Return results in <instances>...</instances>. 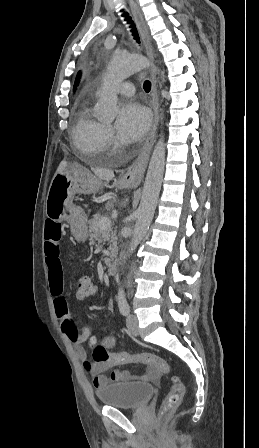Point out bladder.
I'll return each mask as SVG.
<instances>
[{
	"label": "bladder",
	"mask_w": 259,
	"mask_h": 448,
	"mask_svg": "<svg viewBox=\"0 0 259 448\" xmlns=\"http://www.w3.org/2000/svg\"><path fill=\"white\" fill-rule=\"evenodd\" d=\"M153 394L152 384L136 382L110 384L96 392L101 404L122 409L140 408Z\"/></svg>",
	"instance_id": "bladder-1"
}]
</instances>
